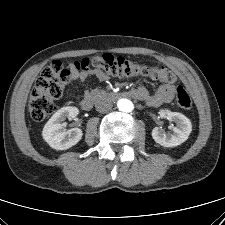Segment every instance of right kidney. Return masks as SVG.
<instances>
[{
	"mask_svg": "<svg viewBox=\"0 0 225 225\" xmlns=\"http://www.w3.org/2000/svg\"><path fill=\"white\" fill-rule=\"evenodd\" d=\"M79 113L76 107L59 109L45 124L42 136L50 147L56 150H66L76 145L82 138L83 132L79 128L63 129L65 119L72 120Z\"/></svg>",
	"mask_w": 225,
	"mask_h": 225,
	"instance_id": "right-kidney-1",
	"label": "right kidney"
}]
</instances>
